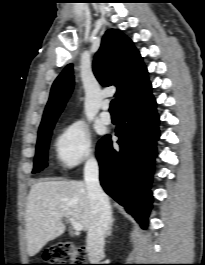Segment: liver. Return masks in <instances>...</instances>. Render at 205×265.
I'll list each match as a JSON object with an SVG mask.
<instances>
[{"mask_svg":"<svg viewBox=\"0 0 205 265\" xmlns=\"http://www.w3.org/2000/svg\"><path fill=\"white\" fill-rule=\"evenodd\" d=\"M63 218H72L88 230L91 206L86 183L43 180L32 185L25 212L29 256H35L49 241L64 233Z\"/></svg>","mask_w":205,"mask_h":265,"instance_id":"liver-1","label":"liver"}]
</instances>
